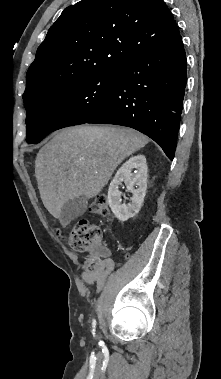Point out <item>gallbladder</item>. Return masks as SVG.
I'll return each instance as SVG.
<instances>
[{"instance_id":"gallbladder-1","label":"gallbladder","mask_w":221,"mask_h":379,"mask_svg":"<svg viewBox=\"0 0 221 379\" xmlns=\"http://www.w3.org/2000/svg\"><path fill=\"white\" fill-rule=\"evenodd\" d=\"M86 208L87 198L85 196L69 199L61 208L60 223L63 226L68 225L72 220L83 215Z\"/></svg>"}]
</instances>
